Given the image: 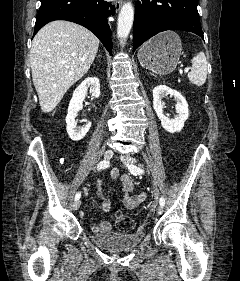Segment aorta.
<instances>
[{
  "mask_svg": "<svg viewBox=\"0 0 240 281\" xmlns=\"http://www.w3.org/2000/svg\"><path fill=\"white\" fill-rule=\"evenodd\" d=\"M134 20V8L131 2H126L118 16L117 36L121 43L128 37Z\"/></svg>",
  "mask_w": 240,
  "mask_h": 281,
  "instance_id": "1",
  "label": "aorta"
}]
</instances>
